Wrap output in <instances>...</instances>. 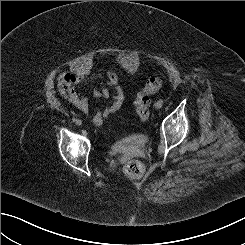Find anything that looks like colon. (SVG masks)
Instances as JSON below:
<instances>
[{
  "instance_id": "colon-1",
  "label": "colon",
  "mask_w": 245,
  "mask_h": 245,
  "mask_svg": "<svg viewBox=\"0 0 245 245\" xmlns=\"http://www.w3.org/2000/svg\"><path fill=\"white\" fill-rule=\"evenodd\" d=\"M162 87V81L157 77H151L147 80L144 87L138 92L135 99V108L141 121H146L150 114V97L157 93ZM126 176L132 179H139L145 172L144 164L138 160L128 161L123 168Z\"/></svg>"
}]
</instances>
